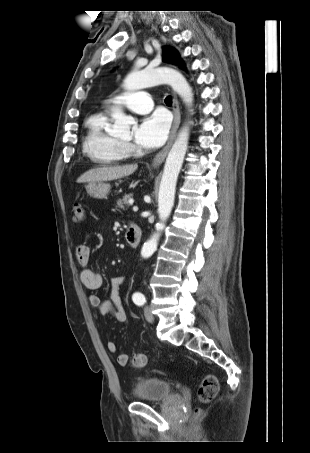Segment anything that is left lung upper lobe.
Returning a JSON list of instances; mask_svg holds the SVG:
<instances>
[{"label":"left lung upper lobe","instance_id":"1","mask_svg":"<svg viewBox=\"0 0 310 453\" xmlns=\"http://www.w3.org/2000/svg\"><path fill=\"white\" fill-rule=\"evenodd\" d=\"M163 61L171 64L182 66V61H180L179 54L168 47L163 48Z\"/></svg>","mask_w":310,"mask_h":453}]
</instances>
